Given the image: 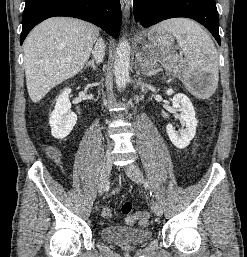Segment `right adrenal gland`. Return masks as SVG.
<instances>
[{
	"label": "right adrenal gland",
	"mask_w": 247,
	"mask_h": 257,
	"mask_svg": "<svg viewBox=\"0 0 247 257\" xmlns=\"http://www.w3.org/2000/svg\"><path fill=\"white\" fill-rule=\"evenodd\" d=\"M87 67H91L94 71L97 69V66H96L94 60H91V61H89L88 63H86V64H85V69H86Z\"/></svg>",
	"instance_id": "obj_1"
}]
</instances>
